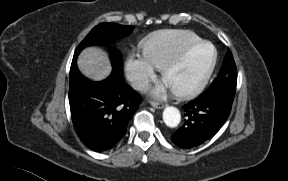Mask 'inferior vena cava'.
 <instances>
[{
    "instance_id": "1",
    "label": "inferior vena cava",
    "mask_w": 288,
    "mask_h": 181,
    "mask_svg": "<svg viewBox=\"0 0 288 181\" xmlns=\"http://www.w3.org/2000/svg\"><path fill=\"white\" fill-rule=\"evenodd\" d=\"M133 88L139 90V91H144L146 92L149 88V82L145 78H137L132 82Z\"/></svg>"
}]
</instances>
